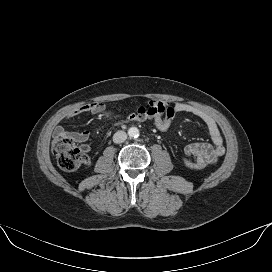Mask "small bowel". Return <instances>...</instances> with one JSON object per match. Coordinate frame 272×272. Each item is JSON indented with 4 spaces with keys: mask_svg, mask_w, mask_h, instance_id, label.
<instances>
[{
    "mask_svg": "<svg viewBox=\"0 0 272 272\" xmlns=\"http://www.w3.org/2000/svg\"><path fill=\"white\" fill-rule=\"evenodd\" d=\"M167 106H170L168 102L151 101L148 104L141 106L136 112L129 113L126 116L128 121L132 122H146L143 119V112L149 111H163ZM105 109L104 104L100 102H93L81 106L80 108L69 113L65 121L72 122L75 118L85 117L91 114H98L103 112ZM174 109L179 113H190L200 118L205 124L212 144L210 143H191L188 144L184 152L187 156L201 162L204 166L215 164L218 159L224 155L226 149L223 144V136L220 128L215 119L207 112L184 102H177L174 105ZM66 135L71 137L75 142L86 143L89 140V132H67L63 126L59 125L55 129V136ZM85 149H88L85 146Z\"/></svg>",
    "mask_w": 272,
    "mask_h": 272,
    "instance_id": "obj_1",
    "label": "small bowel"
}]
</instances>
